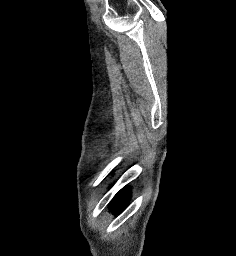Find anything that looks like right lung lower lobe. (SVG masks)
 I'll use <instances>...</instances> for the list:
<instances>
[{
  "label": "right lung lower lobe",
  "instance_id": "1",
  "mask_svg": "<svg viewBox=\"0 0 236 256\" xmlns=\"http://www.w3.org/2000/svg\"><path fill=\"white\" fill-rule=\"evenodd\" d=\"M129 197L130 192L127 188H123L122 190H120L116 194L114 202L111 205L112 210H114L116 214L121 213L123 209L126 207Z\"/></svg>",
  "mask_w": 236,
  "mask_h": 256
}]
</instances>
